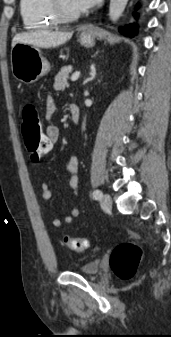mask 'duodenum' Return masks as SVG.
<instances>
[{"label": "duodenum", "instance_id": "410a0bca", "mask_svg": "<svg viewBox=\"0 0 171 337\" xmlns=\"http://www.w3.org/2000/svg\"><path fill=\"white\" fill-rule=\"evenodd\" d=\"M70 115H71V120L74 124H78L79 119H80V110L79 106L76 104H71L70 107Z\"/></svg>", "mask_w": 171, "mask_h": 337}]
</instances>
